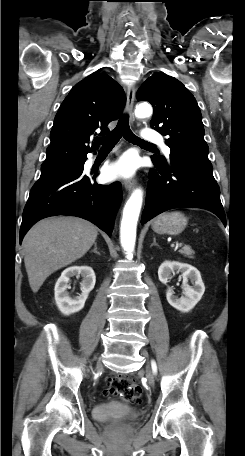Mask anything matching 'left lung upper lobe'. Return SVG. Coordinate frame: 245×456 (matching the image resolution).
I'll list each match as a JSON object with an SVG mask.
<instances>
[{"label":"left lung upper lobe","instance_id":"obj_1","mask_svg":"<svg viewBox=\"0 0 245 456\" xmlns=\"http://www.w3.org/2000/svg\"><path fill=\"white\" fill-rule=\"evenodd\" d=\"M136 97L152 104L154 113L150 125L168 136L166 145L171 149L170 159L212 166L199 106L179 80L166 74H154L141 85ZM152 157L167 162L162 156Z\"/></svg>","mask_w":245,"mask_h":456}]
</instances>
